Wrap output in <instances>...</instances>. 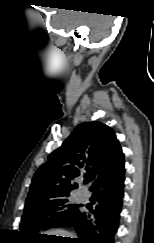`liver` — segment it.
<instances>
[{
    "mask_svg": "<svg viewBox=\"0 0 154 243\" xmlns=\"http://www.w3.org/2000/svg\"><path fill=\"white\" fill-rule=\"evenodd\" d=\"M46 234L73 238V235L70 232L62 230V229H51V230L46 231ZM70 238H66V239H70Z\"/></svg>",
    "mask_w": 154,
    "mask_h": 243,
    "instance_id": "obj_1",
    "label": "liver"
}]
</instances>
